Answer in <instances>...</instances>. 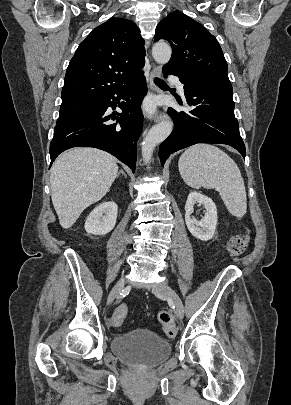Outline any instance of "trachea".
I'll return each instance as SVG.
<instances>
[{
  "label": "trachea",
  "instance_id": "1",
  "mask_svg": "<svg viewBox=\"0 0 291 405\" xmlns=\"http://www.w3.org/2000/svg\"><path fill=\"white\" fill-rule=\"evenodd\" d=\"M154 82H155L158 86H165V85H166V83H165L162 79H159V78H155Z\"/></svg>",
  "mask_w": 291,
  "mask_h": 405
}]
</instances>
